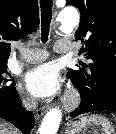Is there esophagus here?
Masks as SVG:
<instances>
[{"mask_svg":"<svg viewBox=\"0 0 116 134\" xmlns=\"http://www.w3.org/2000/svg\"><path fill=\"white\" fill-rule=\"evenodd\" d=\"M48 106H43L41 108H38L37 111H36V116L38 118L42 117L48 110Z\"/></svg>","mask_w":116,"mask_h":134,"instance_id":"esophagus-1","label":"esophagus"}]
</instances>
